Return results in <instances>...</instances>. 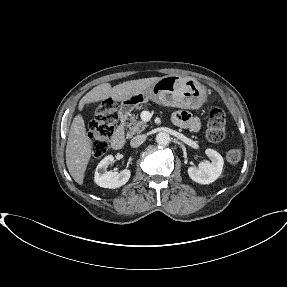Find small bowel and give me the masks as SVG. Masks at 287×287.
Returning <instances> with one entry per match:
<instances>
[{
	"label": "small bowel",
	"mask_w": 287,
	"mask_h": 287,
	"mask_svg": "<svg viewBox=\"0 0 287 287\" xmlns=\"http://www.w3.org/2000/svg\"><path fill=\"white\" fill-rule=\"evenodd\" d=\"M172 120L175 125L190 131H197L200 128L199 120L186 111L174 113Z\"/></svg>",
	"instance_id": "obj_1"
}]
</instances>
